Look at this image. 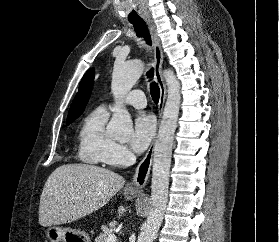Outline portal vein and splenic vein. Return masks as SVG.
<instances>
[{"mask_svg":"<svg viewBox=\"0 0 279 242\" xmlns=\"http://www.w3.org/2000/svg\"><path fill=\"white\" fill-rule=\"evenodd\" d=\"M106 242H116V235L114 233H110L106 238Z\"/></svg>","mask_w":279,"mask_h":242,"instance_id":"18ae733b","label":"portal vein and splenic vein"}]
</instances>
